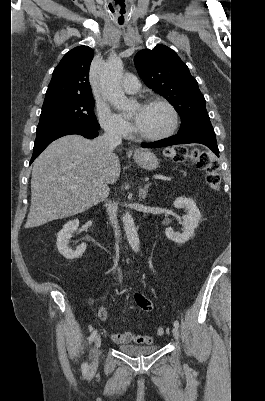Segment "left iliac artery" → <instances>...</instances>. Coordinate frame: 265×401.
Masks as SVG:
<instances>
[{"instance_id":"obj_1","label":"left iliac artery","mask_w":265,"mask_h":401,"mask_svg":"<svg viewBox=\"0 0 265 401\" xmlns=\"http://www.w3.org/2000/svg\"><path fill=\"white\" fill-rule=\"evenodd\" d=\"M174 326H175L176 328H179L180 325H179V322H178L177 320L174 321Z\"/></svg>"}]
</instances>
